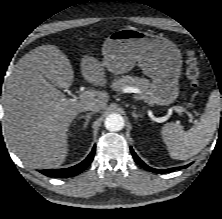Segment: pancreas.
<instances>
[{
	"mask_svg": "<svg viewBox=\"0 0 222 219\" xmlns=\"http://www.w3.org/2000/svg\"><path fill=\"white\" fill-rule=\"evenodd\" d=\"M150 85L149 80L145 78L127 75L115 79L112 83V88L116 91H123L124 88L127 87H136L141 91V97L149 103H152L153 99L148 95Z\"/></svg>",
	"mask_w": 222,
	"mask_h": 219,
	"instance_id": "cf45deb5",
	"label": "pancreas"
}]
</instances>
